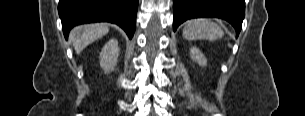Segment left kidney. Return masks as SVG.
Returning a JSON list of instances; mask_svg holds the SVG:
<instances>
[{
	"mask_svg": "<svg viewBox=\"0 0 305 116\" xmlns=\"http://www.w3.org/2000/svg\"><path fill=\"white\" fill-rule=\"evenodd\" d=\"M190 57L193 61L197 62L200 66L207 65L206 57L201 53L197 47H192L190 49Z\"/></svg>",
	"mask_w": 305,
	"mask_h": 116,
	"instance_id": "1",
	"label": "left kidney"
}]
</instances>
